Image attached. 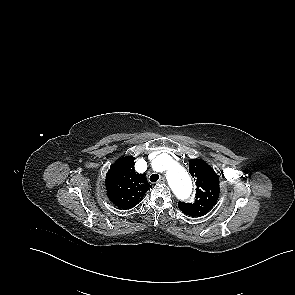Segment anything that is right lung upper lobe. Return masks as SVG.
Segmentation results:
<instances>
[{
    "label": "right lung upper lobe",
    "mask_w": 295,
    "mask_h": 295,
    "mask_svg": "<svg viewBox=\"0 0 295 295\" xmlns=\"http://www.w3.org/2000/svg\"><path fill=\"white\" fill-rule=\"evenodd\" d=\"M134 164V158L127 156L114 163L107 173L109 199L119 208L135 207L151 188L146 175L135 172Z\"/></svg>",
    "instance_id": "1"
}]
</instances>
